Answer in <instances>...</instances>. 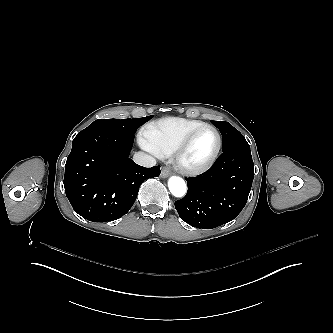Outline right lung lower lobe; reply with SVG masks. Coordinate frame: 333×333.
Instances as JSON below:
<instances>
[{
    "label": "right lung lower lobe",
    "mask_w": 333,
    "mask_h": 333,
    "mask_svg": "<svg viewBox=\"0 0 333 333\" xmlns=\"http://www.w3.org/2000/svg\"><path fill=\"white\" fill-rule=\"evenodd\" d=\"M134 138L104 130L79 132L65 165V193L89 221H113L134 204L141 183L158 177L160 166L145 168L129 158Z\"/></svg>",
    "instance_id": "right-lung-lower-lobe-1"
}]
</instances>
